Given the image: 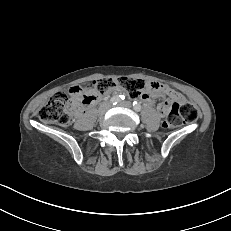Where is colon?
<instances>
[{
    "instance_id": "colon-1",
    "label": "colon",
    "mask_w": 231,
    "mask_h": 231,
    "mask_svg": "<svg viewBox=\"0 0 231 231\" xmlns=\"http://www.w3.org/2000/svg\"><path fill=\"white\" fill-rule=\"evenodd\" d=\"M114 88L123 89L130 97H139L149 91V87L142 79L130 77H108L89 83L84 89L86 95L84 103L90 104L95 95L106 93ZM74 90L62 91L52 97L48 103L43 105L38 112V117L43 123L68 126L72 122L73 111L77 108V103L73 98ZM166 118L164 126L172 128L184 122H195L199 117V111L196 106L189 102L167 103L164 111Z\"/></svg>"
}]
</instances>
